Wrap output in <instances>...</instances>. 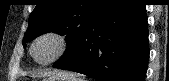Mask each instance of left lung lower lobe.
<instances>
[{
  "mask_svg": "<svg viewBox=\"0 0 169 81\" xmlns=\"http://www.w3.org/2000/svg\"><path fill=\"white\" fill-rule=\"evenodd\" d=\"M145 6L142 0H111L71 57L55 67L99 81H144L149 58Z\"/></svg>",
  "mask_w": 169,
  "mask_h": 81,
  "instance_id": "1",
  "label": "left lung lower lobe"
}]
</instances>
